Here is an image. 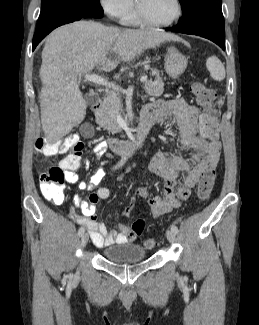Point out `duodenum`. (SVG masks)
<instances>
[{"label":"duodenum","instance_id":"duodenum-1","mask_svg":"<svg viewBox=\"0 0 259 325\" xmlns=\"http://www.w3.org/2000/svg\"><path fill=\"white\" fill-rule=\"evenodd\" d=\"M102 106V101L97 100L96 102L93 103L91 109L94 112L99 111V109ZM154 124V119L147 113H143L141 120H140V125L137 131L136 138L132 140H119L116 138H110L107 141V144L109 148L119 154H130L134 150L141 148L144 146L148 139L149 132Z\"/></svg>","mask_w":259,"mask_h":325}]
</instances>
